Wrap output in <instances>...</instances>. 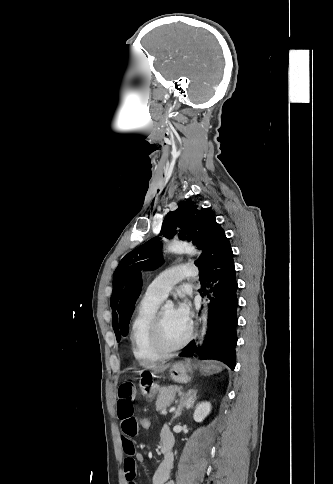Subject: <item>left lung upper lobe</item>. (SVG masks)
I'll use <instances>...</instances> for the list:
<instances>
[{"instance_id":"obj_1","label":"left lung upper lobe","mask_w":333,"mask_h":484,"mask_svg":"<svg viewBox=\"0 0 333 484\" xmlns=\"http://www.w3.org/2000/svg\"><path fill=\"white\" fill-rule=\"evenodd\" d=\"M215 219V214L208 208H200L192 201H184L179 204L176 211L169 212L162 225L161 235L172 238L179 227V238L191 241L202 250L206 239L208 224ZM160 238L155 237L123 257L113 275V292L111 296V308L116 310L122 289L133 271L137 269H155L162 264ZM112 323L117 341H120L117 314L112 312Z\"/></svg>"}]
</instances>
